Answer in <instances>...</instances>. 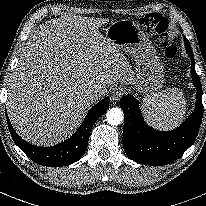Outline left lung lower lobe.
Here are the masks:
<instances>
[{
	"mask_svg": "<svg viewBox=\"0 0 206 206\" xmlns=\"http://www.w3.org/2000/svg\"><path fill=\"white\" fill-rule=\"evenodd\" d=\"M186 50L192 60L191 74L197 89V102L194 112L181 126L168 132L152 129L145 123L138 101L133 96H123L120 100L125 115L123 147L127 156L137 163L151 166L169 164L181 157L196 139L203 115L202 88L192 50L187 47Z\"/></svg>",
	"mask_w": 206,
	"mask_h": 206,
	"instance_id": "0a47b994",
	"label": "left lung lower lobe"
}]
</instances>
